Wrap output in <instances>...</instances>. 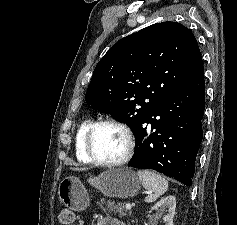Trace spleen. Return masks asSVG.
<instances>
[{
	"label": "spleen",
	"instance_id": "spleen-1",
	"mask_svg": "<svg viewBox=\"0 0 237 225\" xmlns=\"http://www.w3.org/2000/svg\"><path fill=\"white\" fill-rule=\"evenodd\" d=\"M137 173L142 185L149 191L145 202H154L168 190V181L161 175L149 170H139Z\"/></svg>",
	"mask_w": 237,
	"mask_h": 225
}]
</instances>
